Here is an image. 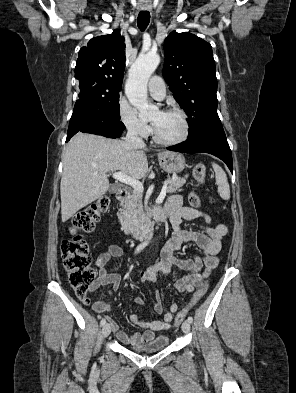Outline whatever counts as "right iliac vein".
<instances>
[{
    "instance_id": "right-iliac-vein-1",
    "label": "right iliac vein",
    "mask_w": 296,
    "mask_h": 393,
    "mask_svg": "<svg viewBox=\"0 0 296 393\" xmlns=\"http://www.w3.org/2000/svg\"><path fill=\"white\" fill-rule=\"evenodd\" d=\"M111 332V328L109 324H105L102 328V334L104 337H107Z\"/></svg>"
}]
</instances>
